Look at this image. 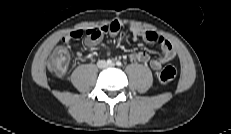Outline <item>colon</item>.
Segmentation results:
<instances>
[{"label": "colon", "mask_w": 231, "mask_h": 134, "mask_svg": "<svg viewBox=\"0 0 231 134\" xmlns=\"http://www.w3.org/2000/svg\"><path fill=\"white\" fill-rule=\"evenodd\" d=\"M70 61V55L65 47H57L48 61V68L55 74L62 75L66 72ZM177 72L173 66H166L159 74L162 83H170L176 78Z\"/></svg>", "instance_id": "5ec220e1"}]
</instances>
